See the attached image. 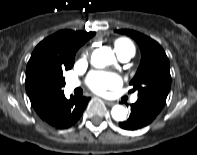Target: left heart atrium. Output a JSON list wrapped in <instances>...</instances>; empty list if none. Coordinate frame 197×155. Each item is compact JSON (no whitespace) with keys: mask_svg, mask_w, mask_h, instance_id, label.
<instances>
[{"mask_svg":"<svg viewBox=\"0 0 197 155\" xmlns=\"http://www.w3.org/2000/svg\"><path fill=\"white\" fill-rule=\"evenodd\" d=\"M89 86L97 94H104L109 89L120 86L121 80L114 73L93 72L88 78Z\"/></svg>","mask_w":197,"mask_h":155,"instance_id":"39dd6f15","label":"left heart atrium"}]
</instances>
